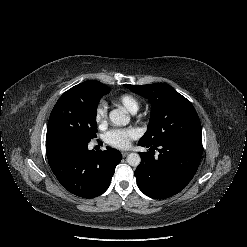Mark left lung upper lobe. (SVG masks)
I'll return each mask as SVG.
<instances>
[{"label": "left lung upper lobe", "mask_w": 247, "mask_h": 247, "mask_svg": "<svg viewBox=\"0 0 247 247\" xmlns=\"http://www.w3.org/2000/svg\"><path fill=\"white\" fill-rule=\"evenodd\" d=\"M151 103L150 122L139 145H158L170 142L202 144V129L193 105L174 88L165 83L125 85Z\"/></svg>", "instance_id": "left-lung-upper-lobe-1"}]
</instances>
